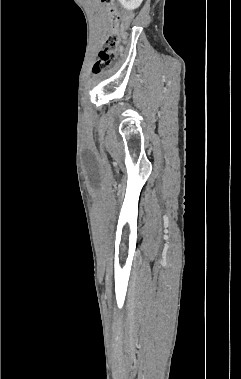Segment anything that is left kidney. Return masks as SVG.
<instances>
[{
    "instance_id": "left-kidney-1",
    "label": "left kidney",
    "mask_w": 241,
    "mask_h": 379,
    "mask_svg": "<svg viewBox=\"0 0 241 379\" xmlns=\"http://www.w3.org/2000/svg\"><path fill=\"white\" fill-rule=\"evenodd\" d=\"M143 0H119L121 5L128 10H134L138 8Z\"/></svg>"
}]
</instances>
